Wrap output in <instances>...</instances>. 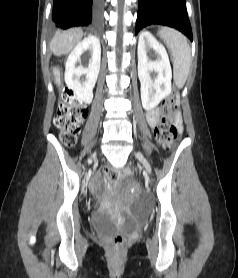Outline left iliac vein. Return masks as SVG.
Here are the masks:
<instances>
[{
	"mask_svg": "<svg viewBox=\"0 0 238 278\" xmlns=\"http://www.w3.org/2000/svg\"><path fill=\"white\" fill-rule=\"evenodd\" d=\"M136 157H137V159L143 164L145 170H146L148 173H151V165H150V163L148 162V160L143 156V154H141V153H136Z\"/></svg>",
	"mask_w": 238,
	"mask_h": 278,
	"instance_id": "1",
	"label": "left iliac vein"
}]
</instances>
